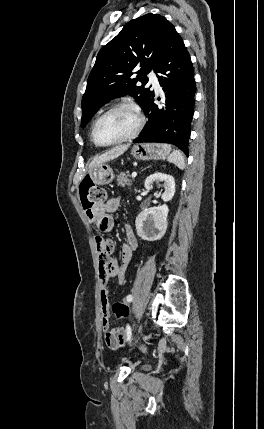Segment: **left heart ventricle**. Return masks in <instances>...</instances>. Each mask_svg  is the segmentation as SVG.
<instances>
[{
  "label": "left heart ventricle",
  "instance_id": "b2bd125f",
  "mask_svg": "<svg viewBox=\"0 0 264 429\" xmlns=\"http://www.w3.org/2000/svg\"><path fill=\"white\" fill-rule=\"evenodd\" d=\"M136 125L135 117L127 111L105 116L97 125L95 136L100 143H109L130 134Z\"/></svg>",
  "mask_w": 264,
  "mask_h": 429
}]
</instances>
